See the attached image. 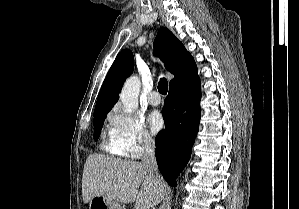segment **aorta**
I'll use <instances>...</instances> for the list:
<instances>
[{
    "label": "aorta",
    "mask_w": 299,
    "mask_h": 209,
    "mask_svg": "<svg viewBox=\"0 0 299 209\" xmlns=\"http://www.w3.org/2000/svg\"><path fill=\"white\" fill-rule=\"evenodd\" d=\"M140 87V79L137 76H131L126 80L121 90L119 99L128 114H131L138 107Z\"/></svg>",
    "instance_id": "1"
}]
</instances>
